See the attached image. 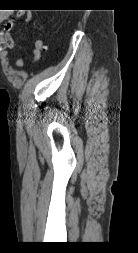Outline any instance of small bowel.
Segmentation results:
<instances>
[{
	"label": "small bowel",
	"instance_id": "c3829d8e",
	"mask_svg": "<svg viewBox=\"0 0 138 253\" xmlns=\"http://www.w3.org/2000/svg\"><path fill=\"white\" fill-rule=\"evenodd\" d=\"M7 13H2L0 15V24L6 18ZM19 15H23L25 20L29 22L32 19L30 13H19ZM14 26V20H9L2 29H0V49L3 58L7 57V54L10 50L14 48V41L11 37V29ZM17 67H21L23 65V59L19 58L17 61Z\"/></svg>",
	"mask_w": 138,
	"mask_h": 253
}]
</instances>
